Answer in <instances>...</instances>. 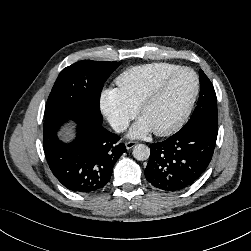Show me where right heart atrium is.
<instances>
[{
  "label": "right heart atrium",
  "mask_w": 251,
  "mask_h": 251,
  "mask_svg": "<svg viewBox=\"0 0 251 251\" xmlns=\"http://www.w3.org/2000/svg\"><path fill=\"white\" fill-rule=\"evenodd\" d=\"M99 106L102 114L116 132L124 131L137 113V110L115 88L102 91Z\"/></svg>",
  "instance_id": "right-heart-atrium-1"
}]
</instances>
